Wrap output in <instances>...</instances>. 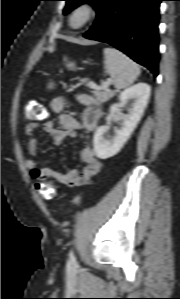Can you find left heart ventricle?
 <instances>
[{
    "label": "left heart ventricle",
    "instance_id": "obj_1",
    "mask_svg": "<svg viewBox=\"0 0 180 299\" xmlns=\"http://www.w3.org/2000/svg\"><path fill=\"white\" fill-rule=\"evenodd\" d=\"M82 18H83V15H82V14H78V15L75 17L74 22H75V23H79V22L82 20Z\"/></svg>",
    "mask_w": 180,
    "mask_h": 299
}]
</instances>
